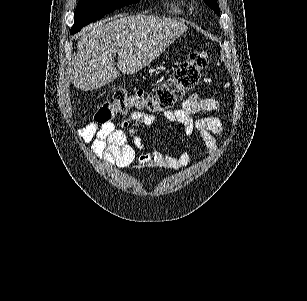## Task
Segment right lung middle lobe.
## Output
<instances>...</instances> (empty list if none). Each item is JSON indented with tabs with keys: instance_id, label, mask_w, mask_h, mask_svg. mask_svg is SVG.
<instances>
[{
	"instance_id": "1",
	"label": "right lung middle lobe",
	"mask_w": 307,
	"mask_h": 301,
	"mask_svg": "<svg viewBox=\"0 0 307 301\" xmlns=\"http://www.w3.org/2000/svg\"><path fill=\"white\" fill-rule=\"evenodd\" d=\"M140 0H79L74 12V25L71 34H75L90 22L101 19L105 14Z\"/></svg>"
}]
</instances>
